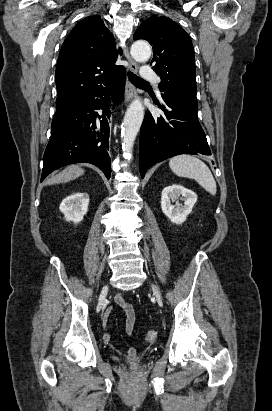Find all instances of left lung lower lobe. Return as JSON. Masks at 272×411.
<instances>
[{
  "label": "left lung lower lobe",
  "instance_id": "obj_1",
  "mask_svg": "<svg viewBox=\"0 0 272 411\" xmlns=\"http://www.w3.org/2000/svg\"><path fill=\"white\" fill-rule=\"evenodd\" d=\"M164 111H147L140 131L139 170L142 178L153 164L179 154L211 155L206 135L197 118V108L161 95Z\"/></svg>",
  "mask_w": 272,
  "mask_h": 411
}]
</instances>
